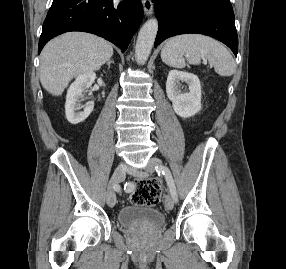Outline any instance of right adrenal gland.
<instances>
[{
    "mask_svg": "<svg viewBox=\"0 0 286 269\" xmlns=\"http://www.w3.org/2000/svg\"><path fill=\"white\" fill-rule=\"evenodd\" d=\"M111 63H114V61H113V60H108V61H107L108 68H110V64H111Z\"/></svg>",
    "mask_w": 286,
    "mask_h": 269,
    "instance_id": "obj_1",
    "label": "right adrenal gland"
}]
</instances>
